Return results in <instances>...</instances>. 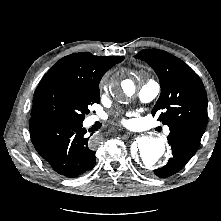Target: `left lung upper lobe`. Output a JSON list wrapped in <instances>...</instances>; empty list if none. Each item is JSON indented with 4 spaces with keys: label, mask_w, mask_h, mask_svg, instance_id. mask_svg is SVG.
I'll return each mask as SVG.
<instances>
[{
    "label": "left lung upper lobe",
    "mask_w": 221,
    "mask_h": 221,
    "mask_svg": "<svg viewBox=\"0 0 221 221\" xmlns=\"http://www.w3.org/2000/svg\"><path fill=\"white\" fill-rule=\"evenodd\" d=\"M135 58L147 62L160 80L161 95L152 113L161 111L163 124L203 134L207 126V96L200 77L182 60L158 49H144Z\"/></svg>",
    "instance_id": "5c2ea615"
}]
</instances>
